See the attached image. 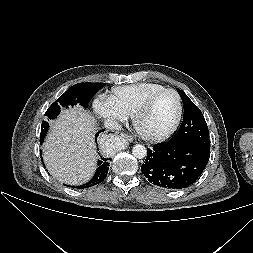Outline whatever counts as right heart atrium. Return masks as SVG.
<instances>
[{
    "mask_svg": "<svg viewBox=\"0 0 253 253\" xmlns=\"http://www.w3.org/2000/svg\"><path fill=\"white\" fill-rule=\"evenodd\" d=\"M96 115L101 119L123 121L125 117L117 110L109 97L100 96L93 102Z\"/></svg>",
    "mask_w": 253,
    "mask_h": 253,
    "instance_id": "obj_1",
    "label": "right heart atrium"
}]
</instances>
